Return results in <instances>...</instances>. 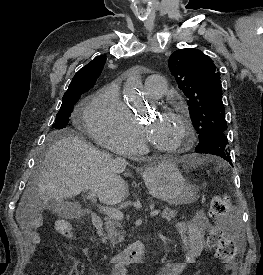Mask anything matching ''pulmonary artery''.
Wrapping results in <instances>:
<instances>
[{
    "mask_svg": "<svg viewBox=\"0 0 263 275\" xmlns=\"http://www.w3.org/2000/svg\"><path fill=\"white\" fill-rule=\"evenodd\" d=\"M166 89V81L162 76L150 75L147 77L145 81V90L151 98H161L165 94Z\"/></svg>",
    "mask_w": 263,
    "mask_h": 275,
    "instance_id": "e3ab8cb5",
    "label": "pulmonary artery"
}]
</instances>
